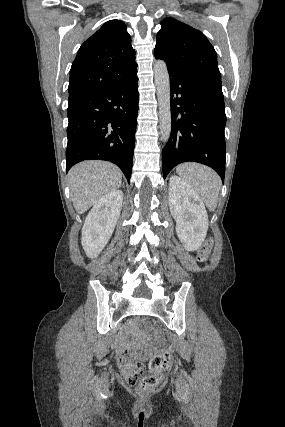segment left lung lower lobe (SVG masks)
Listing matches in <instances>:
<instances>
[{"label":"left lung lower lobe","instance_id":"0a47b994","mask_svg":"<svg viewBox=\"0 0 285 427\" xmlns=\"http://www.w3.org/2000/svg\"><path fill=\"white\" fill-rule=\"evenodd\" d=\"M171 134L162 151L164 178L178 164L191 161L225 176L226 124L221 84L169 72Z\"/></svg>","mask_w":285,"mask_h":427}]
</instances>
